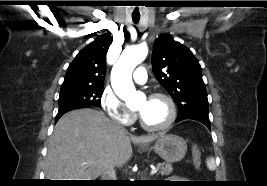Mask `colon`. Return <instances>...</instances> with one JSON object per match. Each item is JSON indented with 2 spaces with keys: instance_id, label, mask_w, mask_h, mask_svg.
Returning <instances> with one entry per match:
<instances>
[{
  "instance_id": "5ec220e1",
  "label": "colon",
  "mask_w": 267,
  "mask_h": 186,
  "mask_svg": "<svg viewBox=\"0 0 267 186\" xmlns=\"http://www.w3.org/2000/svg\"><path fill=\"white\" fill-rule=\"evenodd\" d=\"M200 162H201V152L199 149L195 148L193 151V163L196 167H199Z\"/></svg>"
}]
</instances>
